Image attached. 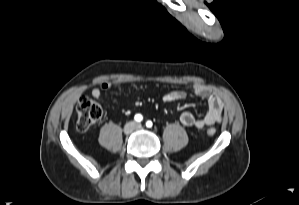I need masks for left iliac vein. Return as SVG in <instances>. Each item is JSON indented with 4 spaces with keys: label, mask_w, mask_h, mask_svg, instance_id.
<instances>
[{
    "label": "left iliac vein",
    "mask_w": 299,
    "mask_h": 205,
    "mask_svg": "<svg viewBox=\"0 0 299 205\" xmlns=\"http://www.w3.org/2000/svg\"><path fill=\"white\" fill-rule=\"evenodd\" d=\"M142 125L141 124H136V129H141Z\"/></svg>",
    "instance_id": "1"
}]
</instances>
